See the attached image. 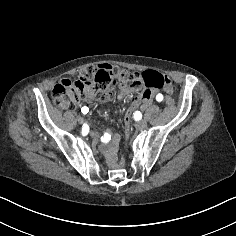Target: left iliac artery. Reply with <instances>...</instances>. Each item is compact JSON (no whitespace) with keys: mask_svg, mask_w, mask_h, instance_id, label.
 <instances>
[{"mask_svg":"<svg viewBox=\"0 0 236 236\" xmlns=\"http://www.w3.org/2000/svg\"><path fill=\"white\" fill-rule=\"evenodd\" d=\"M156 100H157L158 102H161V101L163 100V95L159 93V94L156 96Z\"/></svg>","mask_w":236,"mask_h":236,"instance_id":"obj_1","label":"left iliac artery"}]
</instances>
